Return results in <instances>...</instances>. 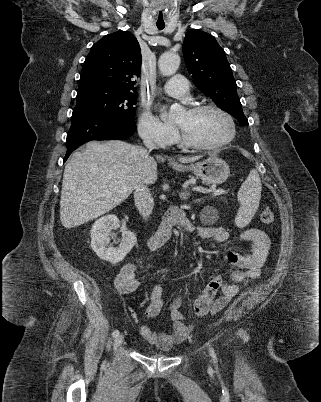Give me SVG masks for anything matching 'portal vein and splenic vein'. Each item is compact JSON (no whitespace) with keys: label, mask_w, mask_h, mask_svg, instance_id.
Returning a JSON list of instances; mask_svg holds the SVG:
<instances>
[{"label":"portal vein and splenic vein","mask_w":321,"mask_h":402,"mask_svg":"<svg viewBox=\"0 0 321 402\" xmlns=\"http://www.w3.org/2000/svg\"><path fill=\"white\" fill-rule=\"evenodd\" d=\"M227 192L224 189H217L214 191L213 196H220L222 194H226Z\"/></svg>","instance_id":"1"}]
</instances>
